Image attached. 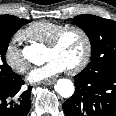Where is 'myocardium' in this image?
I'll return each mask as SVG.
<instances>
[{
	"instance_id": "1",
	"label": "myocardium",
	"mask_w": 116,
	"mask_h": 116,
	"mask_svg": "<svg viewBox=\"0 0 116 116\" xmlns=\"http://www.w3.org/2000/svg\"><path fill=\"white\" fill-rule=\"evenodd\" d=\"M69 31L79 33L84 42V53L82 58L78 63L68 68V72L74 74L83 70L90 62L92 56V41L85 29L77 25H65L54 34L50 42L47 44V48L56 49L60 45L64 35Z\"/></svg>"
}]
</instances>
